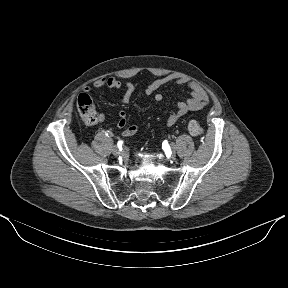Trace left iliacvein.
<instances>
[{
    "mask_svg": "<svg viewBox=\"0 0 288 288\" xmlns=\"http://www.w3.org/2000/svg\"><path fill=\"white\" fill-rule=\"evenodd\" d=\"M171 150H172L171 158H173V157H174L175 150H176V146H175L174 143L171 144Z\"/></svg>",
    "mask_w": 288,
    "mask_h": 288,
    "instance_id": "left-iliac-vein-1",
    "label": "left iliac vein"
}]
</instances>
